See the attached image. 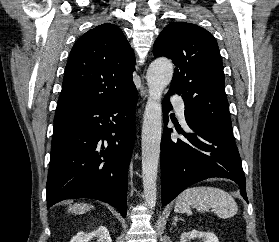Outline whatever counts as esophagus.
<instances>
[{
	"mask_svg": "<svg viewBox=\"0 0 279 242\" xmlns=\"http://www.w3.org/2000/svg\"><path fill=\"white\" fill-rule=\"evenodd\" d=\"M140 95L143 97V98H146L147 97V89L144 85H142L141 87V90H140Z\"/></svg>",
	"mask_w": 279,
	"mask_h": 242,
	"instance_id": "esophagus-1",
	"label": "esophagus"
}]
</instances>
